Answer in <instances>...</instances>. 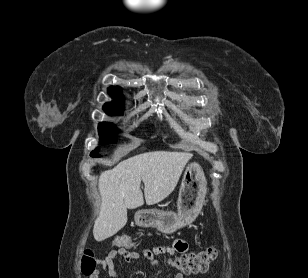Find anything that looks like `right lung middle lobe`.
<instances>
[{
    "mask_svg": "<svg viewBox=\"0 0 308 278\" xmlns=\"http://www.w3.org/2000/svg\"><path fill=\"white\" fill-rule=\"evenodd\" d=\"M99 135H100V141L103 143H112L116 142L117 137L116 133L114 131V126L110 123L101 122L98 125ZM92 157H99V155L96 153V151H93L91 153Z\"/></svg>",
    "mask_w": 308,
    "mask_h": 278,
    "instance_id": "dd1d6c3e",
    "label": "right lung middle lobe"
}]
</instances>
